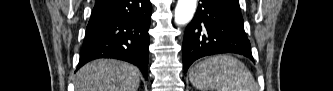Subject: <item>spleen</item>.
<instances>
[{"label":"spleen","mask_w":333,"mask_h":91,"mask_svg":"<svg viewBox=\"0 0 333 91\" xmlns=\"http://www.w3.org/2000/svg\"><path fill=\"white\" fill-rule=\"evenodd\" d=\"M189 78L199 91H258L248 68L227 54L209 57L195 64Z\"/></svg>","instance_id":"1"}]
</instances>
